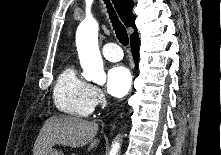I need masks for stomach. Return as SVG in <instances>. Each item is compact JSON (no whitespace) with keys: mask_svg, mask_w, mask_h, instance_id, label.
<instances>
[{"mask_svg":"<svg viewBox=\"0 0 221 155\" xmlns=\"http://www.w3.org/2000/svg\"><path fill=\"white\" fill-rule=\"evenodd\" d=\"M46 155H63V154L56 149H51Z\"/></svg>","mask_w":221,"mask_h":155,"instance_id":"stomach-1","label":"stomach"}]
</instances>
